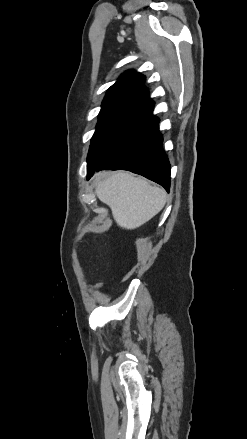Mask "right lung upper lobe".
Wrapping results in <instances>:
<instances>
[{"label":"right lung upper lobe","instance_id":"right-lung-upper-lobe-1","mask_svg":"<svg viewBox=\"0 0 247 439\" xmlns=\"http://www.w3.org/2000/svg\"><path fill=\"white\" fill-rule=\"evenodd\" d=\"M145 76L134 71H127L114 85L104 98L103 105H122L126 108L152 112L154 102L144 86Z\"/></svg>","mask_w":247,"mask_h":439}]
</instances>
